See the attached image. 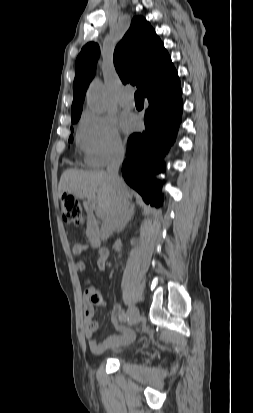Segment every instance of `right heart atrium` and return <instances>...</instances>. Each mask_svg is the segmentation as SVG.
Wrapping results in <instances>:
<instances>
[{"label": "right heart atrium", "mask_w": 253, "mask_h": 413, "mask_svg": "<svg viewBox=\"0 0 253 413\" xmlns=\"http://www.w3.org/2000/svg\"><path fill=\"white\" fill-rule=\"evenodd\" d=\"M77 141L86 164L92 168L106 166L124 151L116 120L91 111L82 117Z\"/></svg>", "instance_id": "1"}]
</instances>
